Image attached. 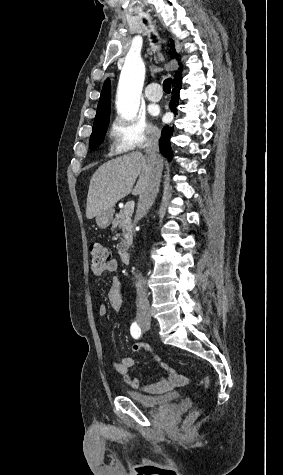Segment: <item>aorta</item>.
<instances>
[{
	"label": "aorta",
	"instance_id": "762f6f07",
	"mask_svg": "<svg viewBox=\"0 0 283 475\" xmlns=\"http://www.w3.org/2000/svg\"><path fill=\"white\" fill-rule=\"evenodd\" d=\"M144 78L145 65L141 59H127L120 74L116 96L117 112L125 120H132L137 115Z\"/></svg>",
	"mask_w": 283,
	"mask_h": 475
}]
</instances>
